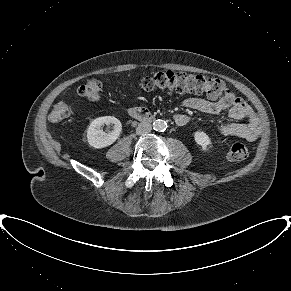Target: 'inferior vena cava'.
Here are the masks:
<instances>
[{
  "label": "inferior vena cava",
  "instance_id": "602c4592",
  "mask_svg": "<svg viewBox=\"0 0 291 291\" xmlns=\"http://www.w3.org/2000/svg\"><path fill=\"white\" fill-rule=\"evenodd\" d=\"M152 130V126L150 123L148 122H142L139 123L137 128H136V133L138 135H145L147 133H149Z\"/></svg>",
  "mask_w": 291,
  "mask_h": 291
}]
</instances>
